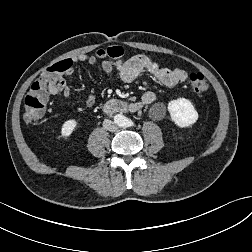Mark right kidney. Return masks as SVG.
Returning a JSON list of instances; mask_svg holds the SVG:
<instances>
[{"label": "right kidney", "mask_w": 252, "mask_h": 252, "mask_svg": "<svg viewBox=\"0 0 252 252\" xmlns=\"http://www.w3.org/2000/svg\"><path fill=\"white\" fill-rule=\"evenodd\" d=\"M77 124H78L77 121L74 119H71V120L64 122V124L62 125V128H61V136L62 137H69L73 133V131L75 130Z\"/></svg>", "instance_id": "right-kidney-1"}]
</instances>
